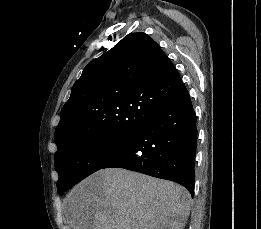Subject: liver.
<instances>
[{"mask_svg": "<svg viewBox=\"0 0 261 229\" xmlns=\"http://www.w3.org/2000/svg\"><path fill=\"white\" fill-rule=\"evenodd\" d=\"M71 229H184L187 189L126 169H101L64 199Z\"/></svg>", "mask_w": 261, "mask_h": 229, "instance_id": "1", "label": "liver"}]
</instances>
